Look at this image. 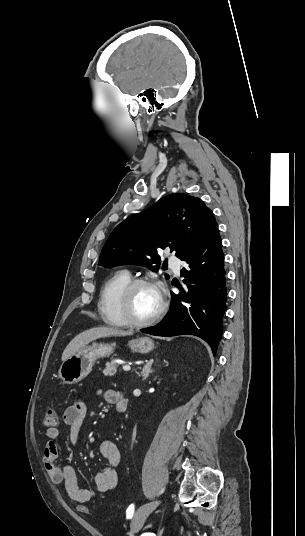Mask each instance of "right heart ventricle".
Masks as SVG:
<instances>
[{"instance_id": "1", "label": "right heart ventricle", "mask_w": 305, "mask_h": 536, "mask_svg": "<svg viewBox=\"0 0 305 536\" xmlns=\"http://www.w3.org/2000/svg\"><path fill=\"white\" fill-rule=\"evenodd\" d=\"M131 280V276L126 271L114 273L102 286L98 312L100 318L108 325L123 327L126 325L120 312L119 298L125 285Z\"/></svg>"}]
</instances>
